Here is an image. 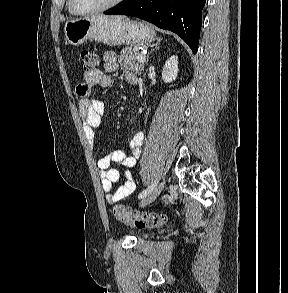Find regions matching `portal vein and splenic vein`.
I'll use <instances>...</instances> for the list:
<instances>
[{"mask_svg": "<svg viewBox=\"0 0 288 293\" xmlns=\"http://www.w3.org/2000/svg\"><path fill=\"white\" fill-rule=\"evenodd\" d=\"M137 60H138L139 62L144 63V62L146 61V58H145L144 53H141L140 55H138V56H137Z\"/></svg>", "mask_w": 288, "mask_h": 293, "instance_id": "portal-vein-and-splenic-vein-1", "label": "portal vein and splenic vein"}]
</instances>
